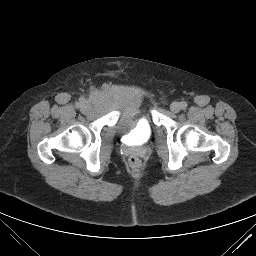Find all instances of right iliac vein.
Instances as JSON below:
<instances>
[{
  "instance_id": "63e3f726",
  "label": "right iliac vein",
  "mask_w": 256,
  "mask_h": 256,
  "mask_svg": "<svg viewBox=\"0 0 256 256\" xmlns=\"http://www.w3.org/2000/svg\"><path fill=\"white\" fill-rule=\"evenodd\" d=\"M81 110H82L83 112H87V111L90 110V107H89L88 102H83V103H82V105H81Z\"/></svg>"
}]
</instances>
